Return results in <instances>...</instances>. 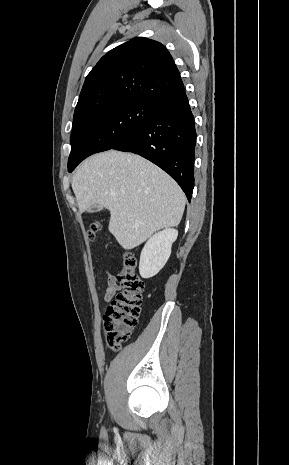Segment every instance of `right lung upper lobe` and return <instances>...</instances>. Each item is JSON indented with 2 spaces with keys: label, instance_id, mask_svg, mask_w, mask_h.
Here are the masks:
<instances>
[{
  "label": "right lung upper lobe",
  "instance_id": "right-lung-upper-lobe-1",
  "mask_svg": "<svg viewBox=\"0 0 289 465\" xmlns=\"http://www.w3.org/2000/svg\"><path fill=\"white\" fill-rule=\"evenodd\" d=\"M182 90L183 82L168 50L159 42L136 37L109 51L87 75L73 125L117 102H156Z\"/></svg>",
  "mask_w": 289,
  "mask_h": 465
}]
</instances>
